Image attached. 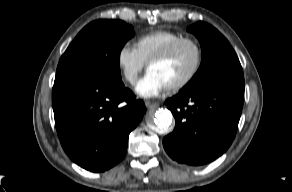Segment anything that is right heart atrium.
Returning <instances> with one entry per match:
<instances>
[{
    "label": "right heart atrium",
    "mask_w": 292,
    "mask_h": 192,
    "mask_svg": "<svg viewBox=\"0 0 292 192\" xmlns=\"http://www.w3.org/2000/svg\"><path fill=\"white\" fill-rule=\"evenodd\" d=\"M116 63L124 80L130 85H134L140 72L145 66L135 47L123 44L116 55Z\"/></svg>",
    "instance_id": "right-heart-atrium-1"
}]
</instances>
